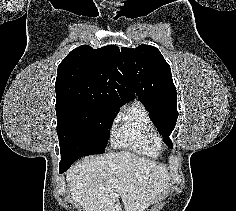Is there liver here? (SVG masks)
<instances>
[{"mask_svg":"<svg viewBox=\"0 0 236 211\" xmlns=\"http://www.w3.org/2000/svg\"><path fill=\"white\" fill-rule=\"evenodd\" d=\"M66 180L72 200L84 211H145L169 188L161 165L130 152L86 158L71 167Z\"/></svg>","mask_w":236,"mask_h":211,"instance_id":"liver-1","label":"liver"}]
</instances>
